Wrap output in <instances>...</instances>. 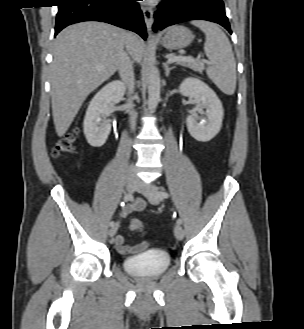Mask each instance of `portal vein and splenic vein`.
Segmentation results:
<instances>
[{
    "label": "portal vein and splenic vein",
    "mask_w": 304,
    "mask_h": 329,
    "mask_svg": "<svg viewBox=\"0 0 304 329\" xmlns=\"http://www.w3.org/2000/svg\"><path fill=\"white\" fill-rule=\"evenodd\" d=\"M179 61H184V62H204L203 59H195L190 56H173L168 58V63H174V62H179Z\"/></svg>",
    "instance_id": "1"
}]
</instances>
